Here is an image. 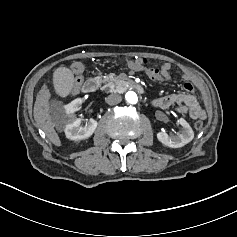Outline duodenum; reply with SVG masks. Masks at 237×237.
<instances>
[{"mask_svg":"<svg viewBox=\"0 0 237 237\" xmlns=\"http://www.w3.org/2000/svg\"><path fill=\"white\" fill-rule=\"evenodd\" d=\"M129 85L132 89L136 90L139 93L144 92V88L141 84L136 83V82H129ZM99 87V80L96 78H90L86 80L82 86V91L84 93H93L95 92Z\"/></svg>","mask_w":237,"mask_h":237,"instance_id":"duodenum-1","label":"duodenum"}]
</instances>
